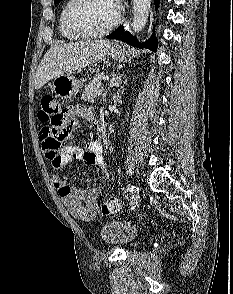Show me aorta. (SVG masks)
Segmentation results:
<instances>
[{"mask_svg": "<svg viewBox=\"0 0 233 294\" xmlns=\"http://www.w3.org/2000/svg\"><path fill=\"white\" fill-rule=\"evenodd\" d=\"M151 6V0H133L132 30L139 33L145 27Z\"/></svg>", "mask_w": 233, "mask_h": 294, "instance_id": "obj_1", "label": "aorta"}]
</instances>
